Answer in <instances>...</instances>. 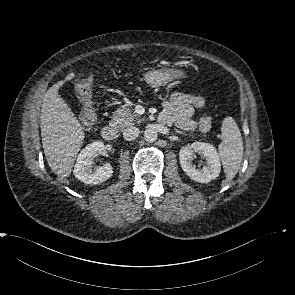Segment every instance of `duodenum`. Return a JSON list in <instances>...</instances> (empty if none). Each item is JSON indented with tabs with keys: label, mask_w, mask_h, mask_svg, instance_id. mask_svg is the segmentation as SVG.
Instances as JSON below:
<instances>
[{
	"label": "duodenum",
	"mask_w": 295,
	"mask_h": 295,
	"mask_svg": "<svg viewBox=\"0 0 295 295\" xmlns=\"http://www.w3.org/2000/svg\"><path fill=\"white\" fill-rule=\"evenodd\" d=\"M103 138L107 141H114L118 138V128L116 124H108L101 130Z\"/></svg>",
	"instance_id": "obj_1"
}]
</instances>
